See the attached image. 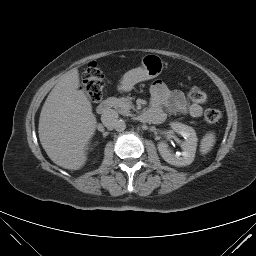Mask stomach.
<instances>
[{
    "mask_svg": "<svg viewBox=\"0 0 256 256\" xmlns=\"http://www.w3.org/2000/svg\"><path fill=\"white\" fill-rule=\"evenodd\" d=\"M142 66L126 72L118 86L122 92L131 91L134 85L157 77L164 68L163 60L155 54H147L141 60Z\"/></svg>",
    "mask_w": 256,
    "mask_h": 256,
    "instance_id": "1",
    "label": "stomach"
}]
</instances>
